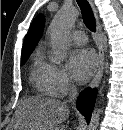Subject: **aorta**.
Here are the masks:
<instances>
[{
    "label": "aorta",
    "mask_w": 123,
    "mask_h": 130,
    "mask_svg": "<svg viewBox=\"0 0 123 130\" xmlns=\"http://www.w3.org/2000/svg\"><path fill=\"white\" fill-rule=\"evenodd\" d=\"M78 15V10L73 6H64L55 15L49 28L53 62L61 63L65 60L69 48L68 34ZM100 112L99 108H94L89 130L98 129Z\"/></svg>",
    "instance_id": "aorta-1"
}]
</instances>
